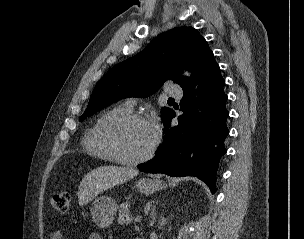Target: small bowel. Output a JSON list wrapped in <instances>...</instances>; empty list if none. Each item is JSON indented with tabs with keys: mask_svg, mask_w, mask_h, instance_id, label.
<instances>
[{
	"mask_svg": "<svg viewBox=\"0 0 304 239\" xmlns=\"http://www.w3.org/2000/svg\"><path fill=\"white\" fill-rule=\"evenodd\" d=\"M50 239H64V231L62 229L54 230L51 235ZM88 239H102L98 234L92 233L88 236Z\"/></svg>",
	"mask_w": 304,
	"mask_h": 239,
	"instance_id": "1",
	"label": "small bowel"
}]
</instances>
